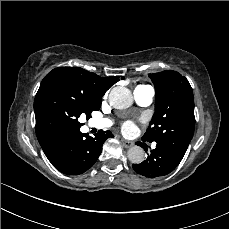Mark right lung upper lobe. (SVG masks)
<instances>
[{
    "label": "right lung upper lobe",
    "mask_w": 229,
    "mask_h": 229,
    "mask_svg": "<svg viewBox=\"0 0 229 229\" xmlns=\"http://www.w3.org/2000/svg\"><path fill=\"white\" fill-rule=\"evenodd\" d=\"M67 81L78 89H80L86 96L92 100L102 101L101 97L105 92L117 81L118 76L100 77L95 73L89 72L79 67H58L50 71L42 80L41 85L51 80ZM37 135V134H36ZM38 141L46 153L56 142H47L40 136H37Z\"/></svg>",
    "instance_id": "cb5924a9"
}]
</instances>
